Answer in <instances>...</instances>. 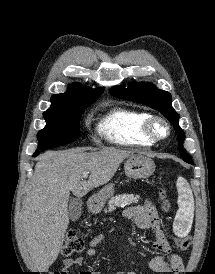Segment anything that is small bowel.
<instances>
[{
	"instance_id": "obj_1",
	"label": "small bowel",
	"mask_w": 215,
	"mask_h": 274,
	"mask_svg": "<svg viewBox=\"0 0 215 274\" xmlns=\"http://www.w3.org/2000/svg\"><path fill=\"white\" fill-rule=\"evenodd\" d=\"M125 218L132 220L137 227L141 229H151L155 236L154 247L156 250L168 255H158L148 262L149 268L158 274L172 272H181L183 270L182 259L171 254V247L161 229L160 219L156 210L146 202L142 205H136L128 208L124 213ZM105 234L99 233L89 241L86 249V256L94 257L97 254V246L104 240ZM84 263V257L67 258L64 260L63 274H69V270L74 266H81ZM79 274H102L97 271H82ZM115 274H135L134 272H116Z\"/></svg>"
}]
</instances>
